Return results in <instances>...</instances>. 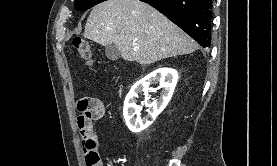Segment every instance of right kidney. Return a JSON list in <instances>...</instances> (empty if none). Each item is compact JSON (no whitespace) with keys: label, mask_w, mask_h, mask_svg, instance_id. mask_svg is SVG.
<instances>
[{"label":"right kidney","mask_w":277,"mask_h":166,"mask_svg":"<svg viewBox=\"0 0 277 166\" xmlns=\"http://www.w3.org/2000/svg\"><path fill=\"white\" fill-rule=\"evenodd\" d=\"M177 81V74L174 70L168 68L157 69L151 74L147 75L140 81H138L130 89L124 101L123 115L126 121V125L132 132H141L152 124L153 120L164 110L170 101L175 85ZM159 82V88H162V95L158 100L148 103L149 97L148 92L151 90L150 85L152 83ZM144 92L145 104L151 110L148 115L144 118L137 116L134 117L139 107L136 105V99L138 94Z\"/></svg>","instance_id":"obj_1"}]
</instances>
